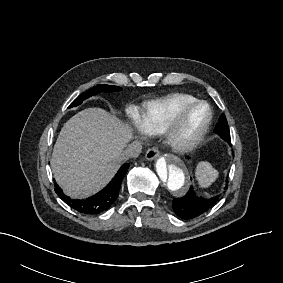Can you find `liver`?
Instances as JSON below:
<instances>
[{
  "label": "liver",
  "instance_id": "liver-1",
  "mask_svg": "<svg viewBox=\"0 0 283 283\" xmlns=\"http://www.w3.org/2000/svg\"><path fill=\"white\" fill-rule=\"evenodd\" d=\"M127 126L102 109L73 116L61 129L51 158L56 181L71 196L99 191L113 177L131 139Z\"/></svg>",
  "mask_w": 283,
  "mask_h": 283
}]
</instances>
